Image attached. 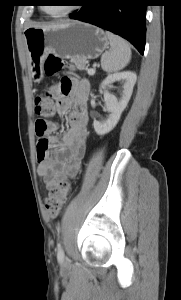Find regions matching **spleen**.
I'll list each match as a JSON object with an SVG mask.
<instances>
[{"instance_id": "obj_1", "label": "spleen", "mask_w": 181, "mask_h": 300, "mask_svg": "<svg viewBox=\"0 0 181 300\" xmlns=\"http://www.w3.org/2000/svg\"><path fill=\"white\" fill-rule=\"evenodd\" d=\"M106 35L110 42V50L101 57V67L107 73L117 72L123 69L131 59L129 44L118 35L109 31Z\"/></svg>"}]
</instances>
